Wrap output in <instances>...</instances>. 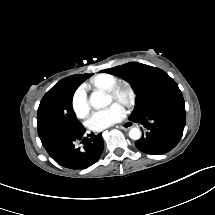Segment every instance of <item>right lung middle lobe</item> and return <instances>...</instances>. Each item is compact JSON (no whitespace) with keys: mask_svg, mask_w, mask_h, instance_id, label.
<instances>
[{"mask_svg":"<svg viewBox=\"0 0 215 215\" xmlns=\"http://www.w3.org/2000/svg\"><path fill=\"white\" fill-rule=\"evenodd\" d=\"M87 78L70 76L52 87L42 98L37 113L38 134L48 130L80 132L85 129L72 109V97Z\"/></svg>","mask_w":215,"mask_h":215,"instance_id":"obj_1","label":"right lung middle lobe"}]
</instances>
